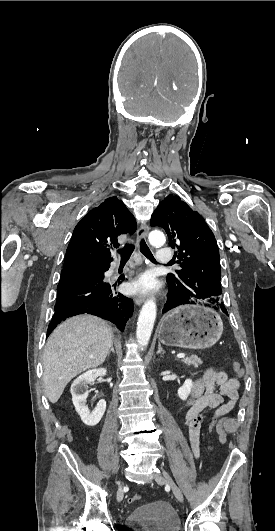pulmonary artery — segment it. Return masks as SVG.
<instances>
[{
    "label": "pulmonary artery",
    "mask_w": 275,
    "mask_h": 531,
    "mask_svg": "<svg viewBox=\"0 0 275 531\" xmlns=\"http://www.w3.org/2000/svg\"><path fill=\"white\" fill-rule=\"evenodd\" d=\"M169 256H170V253H168V251L166 250L159 249L155 252V257L157 258V262L163 265H166L169 263V261H171V258H169ZM116 269H117L116 266H113L110 269L111 276H113V273L116 271Z\"/></svg>",
    "instance_id": "e3ab8cb5"
}]
</instances>
